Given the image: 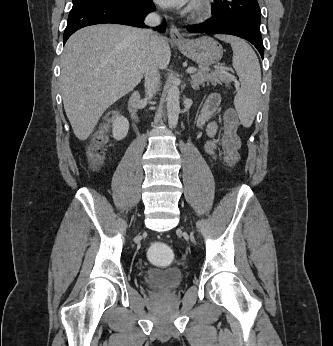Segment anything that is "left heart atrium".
Masks as SVG:
<instances>
[{"instance_id": "39dd6f15", "label": "left heart atrium", "mask_w": 333, "mask_h": 346, "mask_svg": "<svg viewBox=\"0 0 333 346\" xmlns=\"http://www.w3.org/2000/svg\"><path fill=\"white\" fill-rule=\"evenodd\" d=\"M158 4L165 7H181L186 4L187 0H155Z\"/></svg>"}]
</instances>
